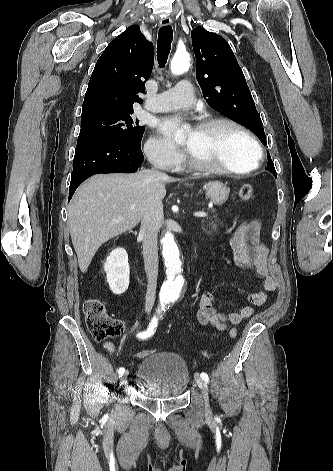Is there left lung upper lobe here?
I'll list each match as a JSON object with an SVG mask.
<instances>
[{"label":"left lung upper lobe","instance_id":"1","mask_svg":"<svg viewBox=\"0 0 333 471\" xmlns=\"http://www.w3.org/2000/svg\"><path fill=\"white\" fill-rule=\"evenodd\" d=\"M191 37L196 56V78L207 103L249 128L262 144L267 145L260 115L228 42L202 27L194 29ZM267 156L266 170L276 177L270 154Z\"/></svg>","mask_w":333,"mask_h":471}]
</instances>
